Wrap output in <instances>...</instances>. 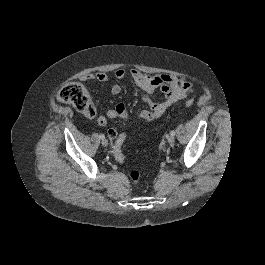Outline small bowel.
Returning a JSON list of instances; mask_svg holds the SVG:
<instances>
[{"label":"small bowel","mask_w":265,"mask_h":265,"mask_svg":"<svg viewBox=\"0 0 265 265\" xmlns=\"http://www.w3.org/2000/svg\"><path fill=\"white\" fill-rule=\"evenodd\" d=\"M114 76L118 80H124L126 77V71L122 68H118L114 71ZM130 77L133 83L141 91L142 99L148 104L149 110H142L137 114V119L150 123L157 120L168 107L176 103L177 101L184 99L193 91L192 84L186 79L178 76L158 74L150 75L144 74L137 69L130 71ZM83 81H97L107 82L109 77L103 72H96L93 74H86L81 77ZM160 87V90L164 96V100L161 102L154 101L151 96L154 91ZM122 88L119 84L111 86V94L118 95ZM120 118L128 120L126 106L123 103L117 104L113 109L108 110L104 115H100L98 123L101 126L107 124L108 119ZM114 135H117V131L113 128L109 129ZM112 138V136H109Z\"/></svg>","instance_id":"small-bowel-1"}]
</instances>
